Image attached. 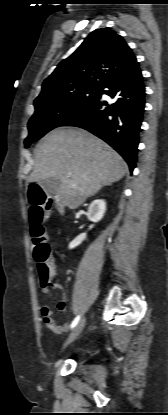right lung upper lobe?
<instances>
[{
    "instance_id": "obj_1",
    "label": "right lung upper lobe",
    "mask_w": 168,
    "mask_h": 415,
    "mask_svg": "<svg viewBox=\"0 0 168 415\" xmlns=\"http://www.w3.org/2000/svg\"><path fill=\"white\" fill-rule=\"evenodd\" d=\"M136 64L122 36L110 28L96 29L45 79L34 105L83 89H102Z\"/></svg>"
}]
</instances>
